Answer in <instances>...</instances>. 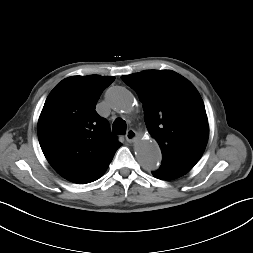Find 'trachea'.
Returning <instances> with one entry per match:
<instances>
[{"instance_id":"1","label":"trachea","mask_w":253,"mask_h":253,"mask_svg":"<svg viewBox=\"0 0 253 253\" xmlns=\"http://www.w3.org/2000/svg\"><path fill=\"white\" fill-rule=\"evenodd\" d=\"M126 127V122L123 119L118 118L114 121L112 130L114 134L123 135L126 133Z\"/></svg>"}]
</instances>
